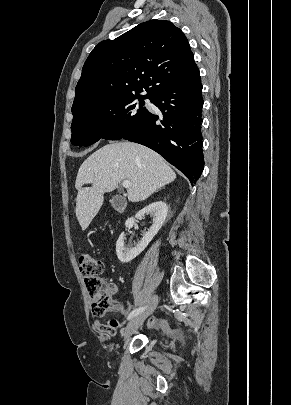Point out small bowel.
I'll return each mask as SVG.
<instances>
[{"mask_svg": "<svg viewBox=\"0 0 291 405\" xmlns=\"http://www.w3.org/2000/svg\"><path fill=\"white\" fill-rule=\"evenodd\" d=\"M118 291V288L115 284L110 285L109 294L111 297V308L110 310L113 312H119L123 315H127L129 310L118 300L114 297ZM155 325L154 320H150L148 323V327L151 328ZM120 328V323L117 320L111 319L106 324L102 323L99 319L96 320V329L101 332L108 334L110 336L116 335L118 329Z\"/></svg>", "mask_w": 291, "mask_h": 405, "instance_id": "obj_1", "label": "small bowel"}]
</instances>
